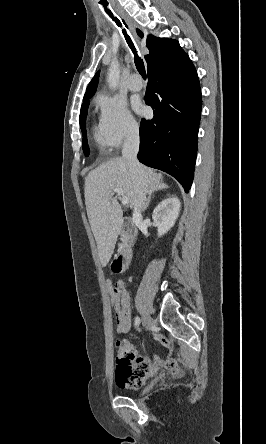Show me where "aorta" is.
<instances>
[{"instance_id": "762f6f07", "label": "aorta", "mask_w": 266, "mask_h": 444, "mask_svg": "<svg viewBox=\"0 0 266 444\" xmlns=\"http://www.w3.org/2000/svg\"><path fill=\"white\" fill-rule=\"evenodd\" d=\"M119 78H120L119 64L116 60H113L109 67L108 77H107V81L111 89L115 90L118 87Z\"/></svg>"}]
</instances>
